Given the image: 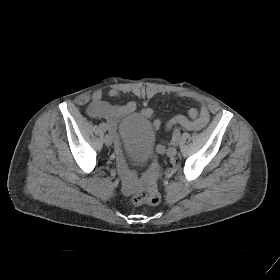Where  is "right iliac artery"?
Masks as SVG:
<instances>
[{
    "label": "right iliac artery",
    "mask_w": 280,
    "mask_h": 280,
    "mask_svg": "<svg viewBox=\"0 0 280 280\" xmlns=\"http://www.w3.org/2000/svg\"><path fill=\"white\" fill-rule=\"evenodd\" d=\"M101 130L106 131L107 130V125L106 123H101L100 125Z\"/></svg>",
    "instance_id": "1"
}]
</instances>
